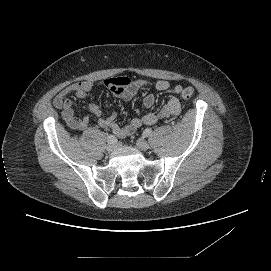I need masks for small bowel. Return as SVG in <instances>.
<instances>
[{"label":"small bowel","instance_id":"obj_1","mask_svg":"<svg viewBox=\"0 0 271 271\" xmlns=\"http://www.w3.org/2000/svg\"><path fill=\"white\" fill-rule=\"evenodd\" d=\"M99 83L92 81H80L65 87L53 99V105L61 111V115L67 126L73 130L83 131L89 126V117L84 116L79 118L72 107V101L68 98L69 95H75L78 98H85L95 86ZM110 91L118 98L130 100L139 89L145 87H153L157 91L169 90L172 95L167 99L164 106L157 113H147L142 117L133 118L128 124L121 126L116 122V114L112 113L107 117L103 116L101 107L96 103L88 105L89 111L99 118V125L110 129L118 137H126L134 133L143 125H154L164 118L177 116L181 113L182 106L176 95L183 91L181 85L171 86L167 80H158L150 85L149 83L139 80L132 81L127 77L110 78L103 82ZM155 103L153 94H148L143 99V104L146 108H151Z\"/></svg>","mask_w":271,"mask_h":271}]
</instances>
